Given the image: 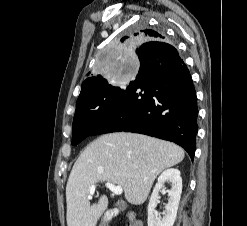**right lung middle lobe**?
Returning a JSON list of instances; mask_svg holds the SVG:
<instances>
[{"label": "right lung middle lobe", "instance_id": "right-lung-middle-lobe-1", "mask_svg": "<svg viewBox=\"0 0 247 226\" xmlns=\"http://www.w3.org/2000/svg\"><path fill=\"white\" fill-rule=\"evenodd\" d=\"M91 91L77 99L76 112L73 119L72 145H76L91 136L95 128L118 101L123 90L118 86H109L107 79Z\"/></svg>", "mask_w": 247, "mask_h": 226}]
</instances>
